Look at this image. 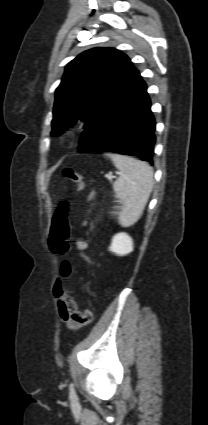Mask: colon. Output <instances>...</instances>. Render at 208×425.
Returning a JSON list of instances; mask_svg holds the SVG:
<instances>
[{
  "label": "colon",
  "instance_id": "1",
  "mask_svg": "<svg viewBox=\"0 0 208 425\" xmlns=\"http://www.w3.org/2000/svg\"><path fill=\"white\" fill-rule=\"evenodd\" d=\"M64 176L70 180L74 186L81 190L84 187L82 176L72 168H65L63 170ZM70 212V203L66 200L62 201L56 210L52 220L49 245L53 252L57 254H65L71 250L69 244L70 227L68 223V215ZM83 258L92 264L98 265L99 259L83 254ZM73 273V265L70 261L65 260L61 263L58 277L53 285V294L57 299L65 302L68 315L70 319L77 326H85L92 322L93 313L90 309L86 308L79 310L76 306L75 300L63 288V281L68 279Z\"/></svg>",
  "mask_w": 208,
  "mask_h": 425
}]
</instances>
